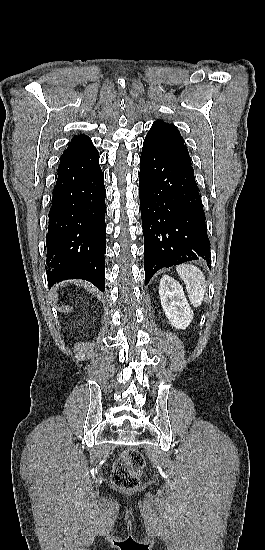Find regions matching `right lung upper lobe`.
Here are the masks:
<instances>
[{"mask_svg": "<svg viewBox=\"0 0 265 550\" xmlns=\"http://www.w3.org/2000/svg\"><path fill=\"white\" fill-rule=\"evenodd\" d=\"M91 139L86 135H75L61 158L94 149Z\"/></svg>", "mask_w": 265, "mask_h": 550, "instance_id": "obj_1", "label": "right lung upper lobe"}]
</instances>
